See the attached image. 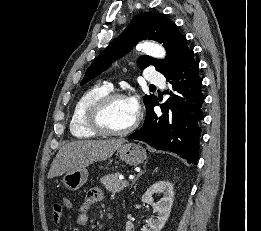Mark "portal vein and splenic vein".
I'll list each match as a JSON object with an SVG mask.
<instances>
[{
  "label": "portal vein and splenic vein",
  "instance_id": "obj_1",
  "mask_svg": "<svg viewBox=\"0 0 261 231\" xmlns=\"http://www.w3.org/2000/svg\"><path fill=\"white\" fill-rule=\"evenodd\" d=\"M121 179H123V177H121ZM124 185H128V182L126 180L123 181Z\"/></svg>",
  "mask_w": 261,
  "mask_h": 231
}]
</instances>
